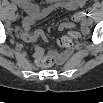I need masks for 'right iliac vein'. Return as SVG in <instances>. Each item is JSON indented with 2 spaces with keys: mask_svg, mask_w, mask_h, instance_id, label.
I'll return each instance as SVG.
<instances>
[{
  "mask_svg": "<svg viewBox=\"0 0 103 103\" xmlns=\"http://www.w3.org/2000/svg\"><path fill=\"white\" fill-rule=\"evenodd\" d=\"M8 17L10 20H13L15 18V15L13 12H11V13H9Z\"/></svg>",
  "mask_w": 103,
  "mask_h": 103,
  "instance_id": "right-iliac-vein-1",
  "label": "right iliac vein"
}]
</instances>
